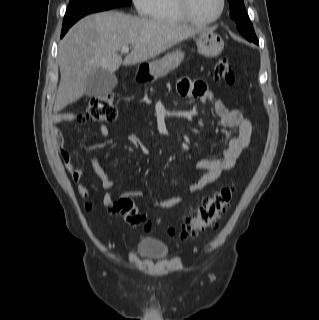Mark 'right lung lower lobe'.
Listing matches in <instances>:
<instances>
[{
    "label": "right lung lower lobe",
    "instance_id": "1",
    "mask_svg": "<svg viewBox=\"0 0 319 320\" xmlns=\"http://www.w3.org/2000/svg\"><path fill=\"white\" fill-rule=\"evenodd\" d=\"M69 28H62L61 37L65 35V33L68 31Z\"/></svg>",
    "mask_w": 319,
    "mask_h": 320
}]
</instances>
